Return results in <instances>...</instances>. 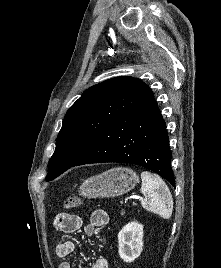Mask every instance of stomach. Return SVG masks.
<instances>
[{
	"label": "stomach",
	"mask_w": 221,
	"mask_h": 268,
	"mask_svg": "<svg viewBox=\"0 0 221 268\" xmlns=\"http://www.w3.org/2000/svg\"><path fill=\"white\" fill-rule=\"evenodd\" d=\"M139 177L126 167H115L86 179L79 187V193L87 198H105L122 195L135 187Z\"/></svg>",
	"instance_id": "obj_1"
}]
</instances>
